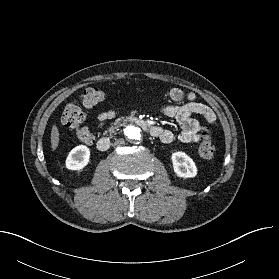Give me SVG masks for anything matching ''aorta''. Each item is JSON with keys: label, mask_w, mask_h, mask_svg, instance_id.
Here are the masks:
<instances>
[{"label": "aorta", "mask_w": 279, "mask_h": 279, "mask_svg": "<svg viewBox=\"0 0 279 279\" xmlns=\"http://www.w3.org/2000/svg\"><path fill=\"white\" fill-rule=\"evenodd\" d=\"M124 132L129 140L137 141L141 139V130L134 125L127 126Z\"/></svg>", "instance_id": "762f6f07"}]
</instances>
